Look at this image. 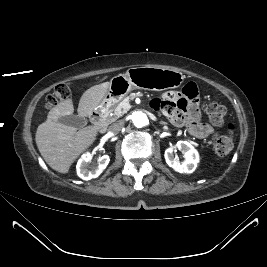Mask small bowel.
Wrapping results in <instances>:
<instances>
[{
	"label": "small bowel",
	"instance_id": "c3829d8e",
	"mask_svg": "<svg viewBox=\"0 0 267 267\" xmlns=\"http://www.w3.org/2000/svg\"><path fill=\"white\" fill-rule=\"evenodd\" d=\"M152 107L161 111L174 124L185 126L189 133L204 139L213 133V128L201 122L198 88L196 84L187 83L181 91H167L152 101Z\"/></svg>",
	"mask_w": 267,
	"mask_h": 267
}]
</instances>
